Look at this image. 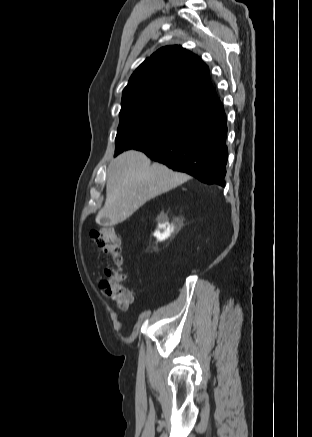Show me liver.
I'll return each mask as SVG.
<instances>
[{"mask_svg": "<svg viewBox=\"0 0 312 437\" xmlns=\"http://www.w3.org/2000/svg\"><path fill=\"white\" fill-rule=\"evenodd\" d=\"M189 179L190 176L174 172L163 164H152L142 152H124L109 165L106 201L96 216V222L104 226L117 225L129 218L148 200L176 188Z\"/></svg>", "mask_w": 312, "mask_h": 437, "instance_id": "liver-1", "label": "liver"}]
</instances>
